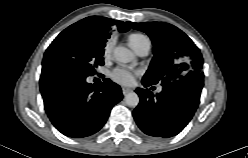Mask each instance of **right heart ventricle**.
<instances>
[{"label":"right heart ventricle","instance_id":"right-heart-ventricle-1","mask_svg":"<svg viewBox=\"0 0 248 158\" xmlns=\"http://www.w3.org/2000/svg\"><path fill=\"white\" fill-rule=\"evenodd\" d=\"M145 39H148V38L141 33H132L129 35V38H128L130 46L135 51Z\"/></svg>","mask_w":248,"mask_h":158}]
</instances>
